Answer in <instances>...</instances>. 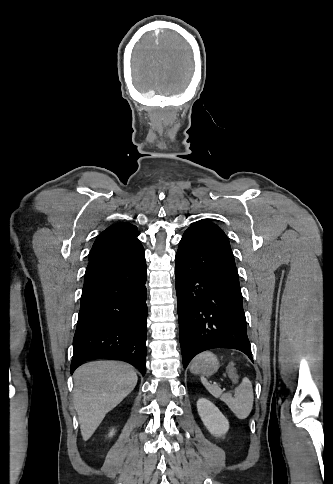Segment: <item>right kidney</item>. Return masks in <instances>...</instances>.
<instances>
[{"instance_id": "right-kidney-1", "label": "right kidney", "mask_w": 333, "mask_h": 484, "mask_svg": "<svg viewBox=\"0 0 333 484\" xmlns=\"http://www.w3.org/2000/svg\"><path fill=\"white\" fill-rule=\"evenodd\" d=\"M113 434H114V431L112 430L110 431L109 436H113Z\"/></svg>"}]
</instances>
